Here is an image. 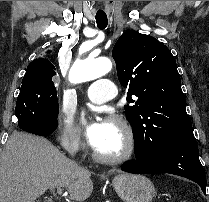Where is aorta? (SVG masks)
I'll list each match as a JSON object with an SVG mask.
<instances>
[{
	"label": "aorta",
	"instance_id": "aorta-1",
	"mask_svg": "<svg viewBox=\"0 0 209 202\" xmlns=\"http://www.w3.org/2000/svg\"><path fill=\"white\" fill-rule=\"evenodd\" d=\"M111 69L112 62L107 57L77 60L70 70L69 79L74 84L82 83L102 77Z\"/></svg>",
	"mask_w": 209,
	"mask_h": 202
}]
</instances>
